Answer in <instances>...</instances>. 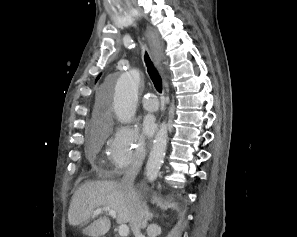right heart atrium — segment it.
I'll use <instances>...</instances> for the list:
<instances>
[{
    "label": "right heart atrium",
    "mask_w": 297,
    "mask_h": 237,
    "mask_svg": "<svg viewBox=\"0 0 297 237\" xmlns=\"http://www.w3.org/2000/svg\"><path fill=\"white\" fill-rule=\"evenodd\" d=\"M112 134L108 158L115 172L139 165L146 153V142L138 130L128 125L115 124L110 118L105 121L102 137Z\"/></svg>",
    "instance_id": "obj_1"
}]
</instances>
